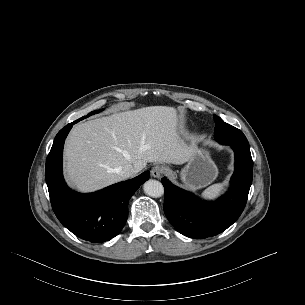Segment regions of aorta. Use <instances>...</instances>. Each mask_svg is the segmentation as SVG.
Wrapping results in <instances>:
<instances>
[{
  "instance_id": "1",
  "label": "aorta",
  "mask_w": 305,
  "mask_h": 305,
  "mask_svg": "<svg viewBox=\"0 0 305 305\" xmlns=\"http://www.w3.org/2000/svg\"><path fill=\"white\" fill-rule=\"evenodd\" d=\"M144 192L151 197H161L164 194V187L161 182L150 179L144 183Z\"/></svg>"
}]
</instances>
